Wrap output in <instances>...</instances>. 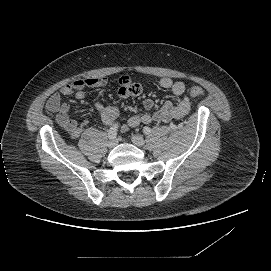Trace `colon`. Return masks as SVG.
Here are the masks:
<instances>
[{"label": "colon", "mask_w": 271, "mask_h": 271, "mask_svg": "<svg viewBox=\"0 0 271 271\" xmlns=\"http://www.w3.org/2000/svg\"><path fill=\"white\" fill-rule=\"evenodd\" d=\"M141 91H142V88L137 83H132L128 87V93L130 95H139ZM204 94H205L204 90L200 87H192L188 91V95L195 98L202 97L204 96Z\"/></svg>", "instance_id": "colon-1"}]
</instances>
